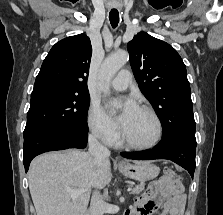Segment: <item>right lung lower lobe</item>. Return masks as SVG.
Here are the masks:
<instances>
[{
  "mask_svg": "<svg viewBox=\"0 0 223 215\" xmlns=\"http://www.w3.org/2000/svg\"><path fill=\"white\" fill-rule=\"evenodd\" d=\"M88 133L75 131H42L24 137L23 162L27 172L32 159L44 152L86 147Z\"/></svg>",
  "mask_w": 223,
  "mask_h": 215,
  "instance_id": "obj_1",
  "label": "right lung lower lobe"
}]
</instances>
